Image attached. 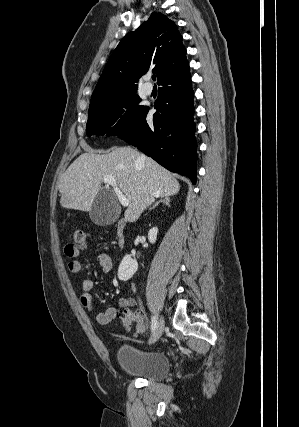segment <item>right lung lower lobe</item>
Here are the masks:
<instances>
[{
    "mask_svg": "<svg viewBox=\"0 0 299 427\" xmlns=\"http://www.w3.org/2000/svg\"><path fill=\"white\" fill-rule=\"evenodd\" d=\"M189 70L159 83L153 124L146 121L148 108L139 123L119 135L166 169L196 182V141L193 122V90Z\"/></svg>",
    "mask_w": 299,
    "mask_h": 427,
    "instance_id": "1",
    "label": "right lung lower lobe"
}]
</instances>
